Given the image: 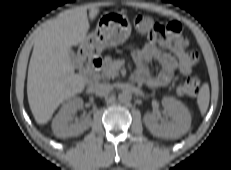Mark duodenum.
<instances>
[{"instance_id":"410a0bca","label":"duodenum","mask_w":231,"mask_h":170,"mask_svg":"<svg viewBox=\"0 0 231 170\" xmlns=\"http://www.w3.org/2000/svg\"><path fill=\"white\" fill-rule=\"evenodd\" d=\"M102 66V59L98 56L86 55L82 61L83 78L92 90L97 82L98 71Z\"/></svg>"}]
</instances>
